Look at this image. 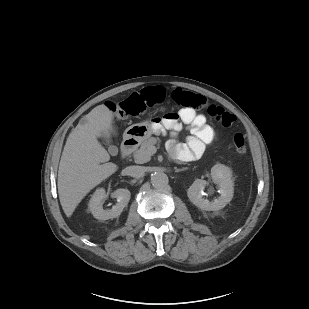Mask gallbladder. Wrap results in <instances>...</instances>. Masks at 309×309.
Here are the masks:
<instances>
[{
	"mask_svg": "<svg viewBox=\"0 0 309 309\" xmlns=\"http://www.w3.org/2000/svg\"><path fill=\"white\" fill-rule=\"evenodd\" d=\"M100 137L102 139H104L108 144L111 141V137L109 135L104 134V133H102V135ZM108 151L110 152L111 155H116L118 153V148L114 145H109Z\"/></svg>",
	"mask_w": 309,
	"mask_h": 309,
	"instance_id": "gallbladder-1",
	"label": "gallbladder"
}]
</instances>
